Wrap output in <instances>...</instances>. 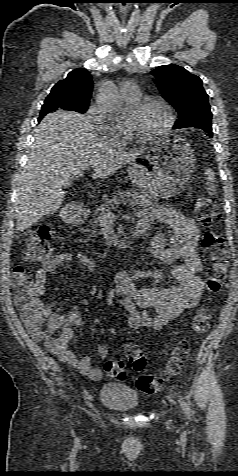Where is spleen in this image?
Returning <instances> with one entry per match:
<instances>
[{"instance_id": "1", "label": "spleen", "mask_w": 238, "mask_h": 476, "mask_svg": "<svg viewBox=\"0 0 238 476\" xmlns=\"http://www.w3.org/2000/svg\"><path fill=\"white\" fill-rule=\"evenodd\" d=\"M205 175L207 176V184L209 185V189L211 192L216 191V186H215V173L213 172L212 169H206L205 170Z\"/></svg>"}]
</instances>
